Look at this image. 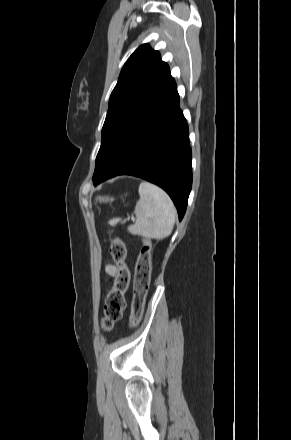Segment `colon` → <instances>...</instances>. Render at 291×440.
<instances>
[{"label": "colon", "mask_w": 291, "mask_h": 440, "mask_svg": "<svg viewBox=\"0 0 291 440\" xmlns=\"http://www.w3.org/2000/svg\"><path fill=\"white\" fill-rule=\"evenodd\" d=\"M110 251L117 268V277L104 302V315L101 321L104 330H110L114 323L121 318L125 304L124 293L129 280V271L126 265V246L121 238L115 237L111 241ZM151 253L152 241L145 239L139 251L135 267L134 297L130 315L132 325H135L142 316L144 300L149 290Z\"/></svg>", "instance_id": "obj_1"}]
</instances>
